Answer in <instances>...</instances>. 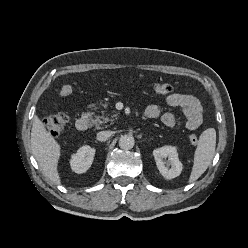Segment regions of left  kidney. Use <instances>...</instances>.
Here are the masks:
<instances>
[{"instance_id":"obj_1","label":"left kidney","mask_w":248,"mask_h":248,"mask_svg":"<svg viewBox=\"0 0 248 248\" xmlns=\"http://www.w3.org/2000/svg\"><path fill=\"white\" fill-rule=\"evenodd\" d=\"M153 156L157 168L164 178L173 179L181 174L182 163L175 147L166 145L157 148L153 150ZM166 158L167 161H165ZM169 166L171 167L169 168Z\"/></svg>"}]
</instances>
